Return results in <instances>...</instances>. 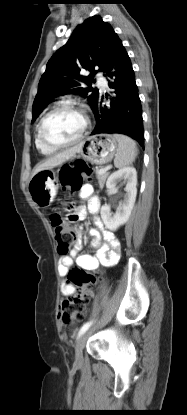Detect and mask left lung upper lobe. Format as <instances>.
Wrapping results in <instances>:
<instances>
[{
    "label": "left lung upper lobe",
    "instance_id": "obj_1",
    "mask_svg": "<svg viewBox=\"0 0 187 415\" xmlns=\"http://www.w3.org/2000/svg\"><path fill=\"white\" fill-rule=\"evenodd\" d=\"M117 37L113 28L100 16L90 17L75 28L67 43L48 61L41 76L32 107V123L55 97L65 94H81L88 99L93 110L100 98L98 90L91 87L95 82V68L105 71L100 57L108 60ZM83 70L90 74L81 75ZM84 83L88 87H82Z\"/></svg>",
    "mask_w": 187,
    "mask_h": 415
}]
</instances>
